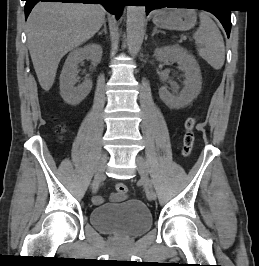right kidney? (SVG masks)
<instances>
[{
	"label": "right kidney",
	"mask_w": 259,
	"mask_h": 266,
	"mask_svg": "<svg viewBox=\"0 0 259 266\" xmlns=\"http://www.w3.org/2000/svg\"><path fill=\"white\" fill-rule=\"evenodd\" d=\"M102 57V47L90 43L82 48L74 49L67 57L60 75L61 97L70 105L82 102L92 89V81L86 79L81 85L75 87L78 64L89 58L93 67L97 66Z\"/></svg>",
	"instance_id": "1"
}]
</instances>
